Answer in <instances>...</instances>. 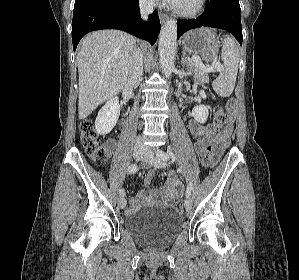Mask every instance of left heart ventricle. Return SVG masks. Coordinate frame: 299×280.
Here are the masks:
<instances>
[{"mask_svg": "<svg viewBox=\"0 0 299 280\" xmlns=\"http://www.w3.org/2000/svg\"><path fill=\"white\" fill-rule=\"evenodd\" d=\"M197 0H178L176 5L182 9H191L196 5Z\"/></svg>", "mask_w": 299, "mask_h": 280, "instance_id": "obj_1", "label": "left heart ventricle"}]
</instances>
